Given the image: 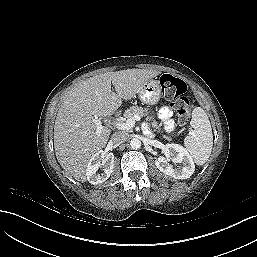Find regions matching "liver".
<instances>
[{
  "label": "liver",
  "mask_w": 257,
  "mask_h": 257,
  "mask_svg": "<svg viewBox=\"0 0 257 257\" xmlns=\"http://www.w3.org/2000/svg\"><path fill=\"white\" fill-rule=\"evenodd\" d=\"M160 73L146 69L106 72L82 81L67 92L54 125L56 157L66 172L80 182L86 181L89 160L106 146L111 134L106 126L98 130L93 119L112 115L123 100L133 98L145 82Z\"/></svg>",
  "instance_id": "1"
}]
</instances>
